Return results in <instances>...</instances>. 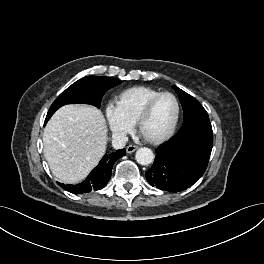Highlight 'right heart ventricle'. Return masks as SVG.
<instances>
[{
    "label": "right heart ventricle",
    "instance_id": "e07e8e85",
    "mask_svg": "<svg viewBox=\"0 0 264 264\" xmlns=\"http://www.w3.org/2000/svg\"><path fill=\"white\" fill-rule=\"evenodd\" d=\"M158 93L159 90L147 86L128 88L115 97L114 105L126 120L134 124L147 101Z\"/></svg>",
    "mask_w": 264,
    "mask_h": 264
}]
</instances>
